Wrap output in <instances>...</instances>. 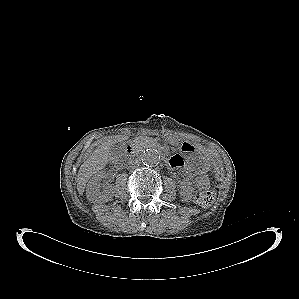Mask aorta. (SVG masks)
Masks as SVG:
<instances>
[{"label": "aorta", "mask_w": 299, "mask_h": 299, "mask_svg": "<svg viewBox=\"0 0 299 299\" xmlns=\"http://www.w3.org/2000/svg\"><path fill=\"white\" fill-rule=\"evenodd\" d=\"M142 161L146 165H156L160 161V154L157 149L150 148L142 154Z\"/></svg>", "instance_id": "762f6f07"}]
</instances>
